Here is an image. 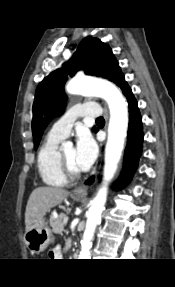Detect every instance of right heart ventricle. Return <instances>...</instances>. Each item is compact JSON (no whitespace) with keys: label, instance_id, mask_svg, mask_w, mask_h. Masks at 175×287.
Listing matches in <instances>:
<instances>
[{"label":"right heart ventricle","instance_id":"1","mask_svg":"<svg viewBox=\"0 0 175 287\" xmlns=\"http://www.w3.org/2000/svg\"><path fill=\"white\" fill-rule=\"evenodd\" d=\"M61 138L48 134L37 154V168L42 181L49 186L63 187L68 178L63 173L59 162V143Z\"/></svg>","mask_w":175,"mask_h":287}]
</instances>
